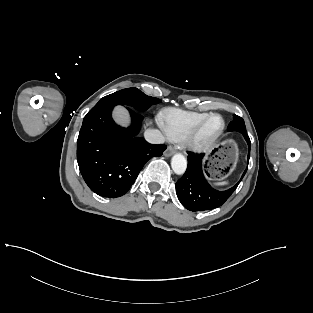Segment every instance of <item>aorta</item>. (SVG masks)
Instances as JSON below:
<instances>
[{"instance_id": "aorta-1", "label": "aorta", "mask_w": 313, "mask_h": 313, "mask_svg": "<svg viewBox=\"0 0 313 313\" xmlns=\"http://www.w3.org/2000/svg\"><path fill=\"white\" fill-rule=\"evenodd\" d=\"M171 167L175 174L182 175L187 168V160L184 155L177 153L172 157Z\"/></svg>"}]
</instances>
